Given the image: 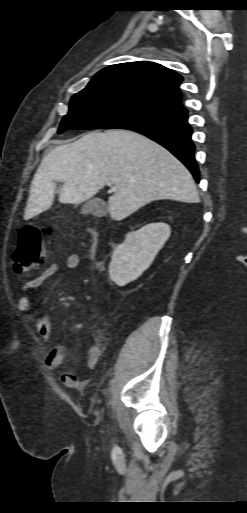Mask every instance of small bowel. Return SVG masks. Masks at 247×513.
<instances>
[{
	"instance_id": "1",
	"label": "small bowel",
	"mask_w": 247,
	"mask_h": 513,
	"mask_svg": "<svg viewBox=\"0 0 247 513\" xmlns=\"http://www.w3.org/2000/svg\"><path fill=\"white\" fill-rule=\"evenodd\" d=\"M79 265L80 257L78 254L70 253L66 256L65 267L68 270H75L79 267ZM57 270L58 264L56 262H51L39 276L25 284L18 299L19 311L25 314L31 320L38 335L45 342L51 339V323L49 319L32 311L30 291L43 285L57 272ZM66 355L67 348L65 345H54L51 351L45 357L44 363L49 369L56 370L64 363ZM100 357L101 349L96 345L90 346L85 357L86 366L89 369H94L98 365ZM61 380L66 387L70 388L80 389L87 385V381L79 380L73 373L69 372H64L61 375Z\"/></svg>"
}]
</instances>
